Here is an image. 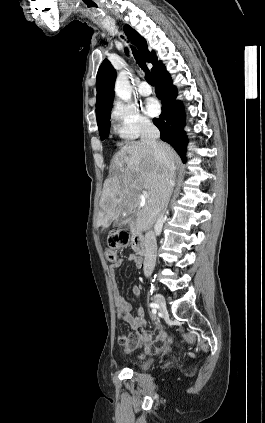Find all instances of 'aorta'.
<instances>
[{
	"label": "aorta",
	"instance_id": "obj_1",
	"mask_svg": "<svg viewBox=\"0 0 265 423\" xmlns=\"http://www.w3.org/2000/svg\"><path fill=\"white\" fill-rule=\"evenodd\" d=\"M115 94L124 101H128L132 95V86L128 78L127 71H121L117 76L115 83Z\"/></svg>",
	"mask_w": 265,
	"mask_h": 423
}]
</instances>
